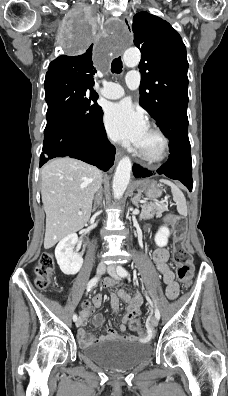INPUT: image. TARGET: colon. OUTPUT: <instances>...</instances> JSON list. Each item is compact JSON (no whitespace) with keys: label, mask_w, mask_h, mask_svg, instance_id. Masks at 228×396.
<instances>
[{"label":"colon","mask_w":228,"mask_h":396,"mask_svg":"<svg viewBox=\"0 0 228 396\" xmlns=\"http://www.w3.org/2000/svg\"><path fill=\"white\" fill-rule=\"evenodd\" d=\"M167 221L172 226L175 235L173 259L177 265V277L179 281L189 283L193 277L194 266L186 239V220L177 215H170ZM54 265V257L50 252H43L40 255L34 270L35 284L39 289H46L50 285ZM130 328L135 332H143L141 322L136 319L130 321Z\"/></svg>","instance_id":"colon-1"}]
</instances>
